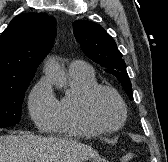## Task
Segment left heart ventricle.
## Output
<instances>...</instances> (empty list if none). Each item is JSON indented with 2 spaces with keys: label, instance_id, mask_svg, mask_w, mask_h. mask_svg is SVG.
Segmentation results:
<instances>
[{
  "label": "left heart ventricle",
  "instance_id": "1",
  "mask_svg": "<svg viewBox=\"0 0 168 162\" xmlns=\"http://www.w3.org/2000/svg\"><path fill=\"white\" fill-rule=\"evenodd\" d=\"M96 120L105 126H114L121 120V109L116 98L107 91L98 92L92 100Z\"/></svg>",
  "mask_w": 168,
  "mask_h": 162
}]
</instances>
